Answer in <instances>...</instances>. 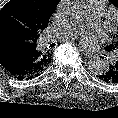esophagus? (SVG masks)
I'll use <instances>...</instances> for the list:
<instances>
[{
	"mask_svg": "<svg viewBox=\"0 0 118 118\" xmlns=\"http://www.w3.org/2000/svg\"><path fill=\"white\" fill-rule=\"evenodd\" d=\"M80 50L86 57H88V58L93 57V54L90 51H88L87 49H84L81 47Z\"/></svg>",
	"mask_w": 118,
	"mask_h": 118,
	"instance_id": "1",
	"label": "esophagus"
}]
</instances>
